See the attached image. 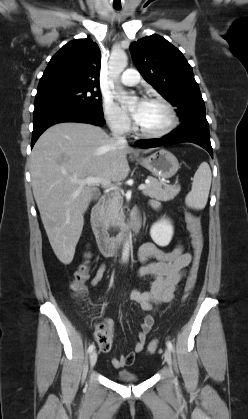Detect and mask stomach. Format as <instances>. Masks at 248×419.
<instances>
[{
	"label": "stomach",
	"mask_w": 248,
	"mask_h": 419,
	"mask_svg": "<svg viewBox=\"0 0 248 419\" xmlns=\"http://www.w3.org/2000/svg\"><path fill=\"white\" fill-rule=\"evenodd\" d=\"M138 162L154 176L168 179L179 169L177 158L169 151L160 149L148 157L138 159Z\"/></svg>",
	"instance_id": "1"
}]
</instances>
